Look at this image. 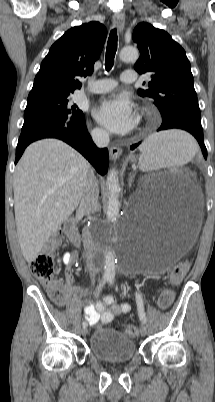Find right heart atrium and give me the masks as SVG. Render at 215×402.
Here are the masks:
<instances>
[{"mask_svg":"<svg viewBox=\"0 0 215 402\" xmlns=\"http://www.w3.org/2000/svg\"><path fill=\"white\" fill-rule=\"evenodd\" d=\"M93 137L98 140V141H103L107 138V133L104 129H102L101 127H95L93 129Z\"/></svg>","mask_w":215,"mask_h":402,"instance_id":"obj_1","label":"right heart atrium"}]
</instances>
